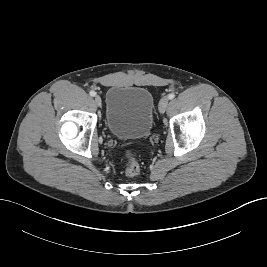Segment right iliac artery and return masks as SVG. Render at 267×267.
<instances>
[{
	"label": "right iliac artery",
	"mask_w": 267,
	"mask_h": 267,
	"mask_svg": "<svg viewBox=\"0 0 267 267\" xmlns=\"http://www.w3.org/2000/svg\"><path fill=\"white\" fill-rule=\"evenodd\" d=\"M92 97H94L96 95V92L95 91H90L89 93Z\"/></svg>",
	"instance_id": "82829eb1"
}]
</instances>
